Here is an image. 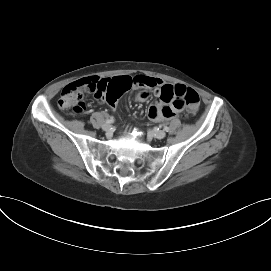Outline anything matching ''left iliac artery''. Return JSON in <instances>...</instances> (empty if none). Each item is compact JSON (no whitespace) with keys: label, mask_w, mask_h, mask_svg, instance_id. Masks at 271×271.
<instances>
[{"label":"left iliac artery","mask_w":271,"mask_h":271,"mask_svg":"<svg viewBox=\"0 0 271 271\" xmlns=\"http://www.w3.org/2000/svg\"><path fill=\"white\" fill-rule=\"evenodd\" d=\"M164 130H165V131H169V127L164 126Z\"/></svg>","instance_id":"left-iliac-artery-1"}]
</instances>
